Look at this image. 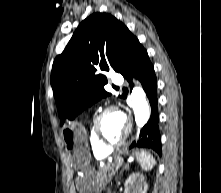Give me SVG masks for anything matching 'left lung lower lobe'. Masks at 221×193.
<instances>
[{"label": "left lung lower lobe", "instance_id": "left-lung-lower-lobe-1", "mask_svg": "<svg viewBox=\"0 0 221 193\" xmlns=\"http://www.w3.org/2000/svg\"><path fill=\"white\" fill-rule=\"evenodd\" d=\"M121 74L129 82L135 76L141 82L151 105L149 121L140 130L139 136L131 144V148H149L162 154L161 136L159 132V115L157 111V80L154 67L144 47L138 42L133 48ZM133 85L131 84V89Z\"/></svg>", "mask_w": 221, "mask_h": 193}]
</instances>
